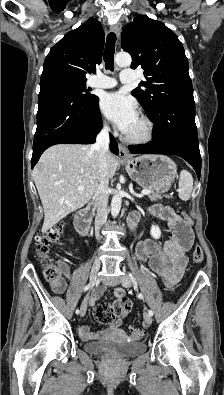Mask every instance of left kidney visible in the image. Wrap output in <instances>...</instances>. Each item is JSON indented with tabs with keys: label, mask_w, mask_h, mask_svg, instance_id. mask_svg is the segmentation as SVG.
<instances>
[{
	"label": "left kidney",
	"mask_w": 224,
	"mask_h": 395,
	"mask_svg": "<svg viewBox=\"0 0 224 395\" xmlns=\"http://www.w3.org/2000/svg\"><path fill=\"white\" fill-rule=\"evenodd\" d=\"M150 234L154 239H159L161 237L160 228L157 225H152Z\"/></svg>",
	"instance_id": "5707ae66"
}]
</instances>
